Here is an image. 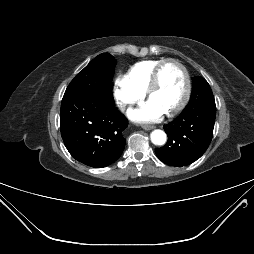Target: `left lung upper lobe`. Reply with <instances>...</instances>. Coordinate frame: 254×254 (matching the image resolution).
Returning a JSON list of instances; mask_svg holds the SVG:
<instances>
[{"instance_id":"1","label":"left lung upper lobe","mask_w":254,"mask_h":254,"mask_svg":"<svg viewBox=\"0 0 254 254\" xmlns=\"http://www.w3.org/2000/svg\"><path fill=\"white\" fill-rule=\"evenodd\" d=\"M192 93L190 103L215 104L214 96L208 82L202 77L192 78Z\"/></svg>"}]
</instances>
